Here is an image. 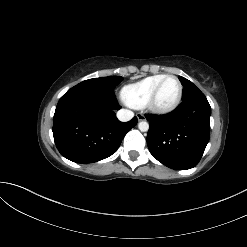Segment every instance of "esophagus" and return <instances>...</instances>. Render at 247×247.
<instances>
[{"mask_svg":"<svg viewBox=\"0 0 247 247\" xmlns=\"http://www.w3.org/2000/svg\"><path fill=\"white\" fill-rule=\"evenodd\" d=\"M137 119H138V121H143V120H145V116L142 113H138Z\"/></svg>","mask_w":247,"mask_h":247,"instance_id":"1","label":"esophagus"}]
</instances>
